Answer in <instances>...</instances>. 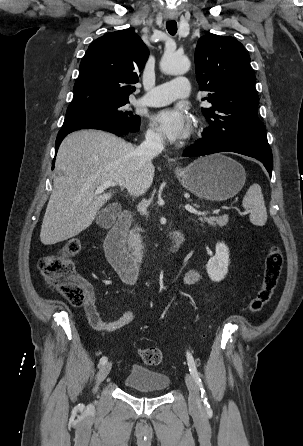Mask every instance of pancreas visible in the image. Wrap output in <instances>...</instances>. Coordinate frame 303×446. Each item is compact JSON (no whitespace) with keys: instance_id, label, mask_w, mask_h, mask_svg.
I'll list each match as a JSON object with an SVG mask.
<instances>
[{"instance_id":"cf45deb5","label":"pancreas","mask_w":303,"mask_h":446,"mask_svg":"<svg viewBox=\"0 0 303 446\" xmlns=\"http://www.w3.org/2000/svg\"><path fill=\"white\" fill-rule=\"evenodd\" d=\"M199 221L206 222L210 226L216 227H223L228 223V217L227 216H219V217H199ZM142 231L139 227L134 228L130 231L128 236V248L133 251H141L142 242H141V235L139 232Z\"/></svg>"}]
</instances>
